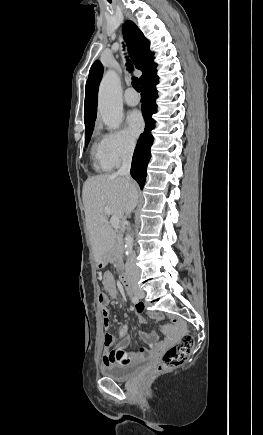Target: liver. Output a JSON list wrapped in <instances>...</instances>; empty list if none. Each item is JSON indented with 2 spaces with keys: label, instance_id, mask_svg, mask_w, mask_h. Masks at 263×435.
<instances>
[{
  "label": "liver",
  "instance_id": "obj_1",
  "mask_svg": "<svg viewBox=\"0 0 263 435\" xmlns=\"http://www.w3.org/2000/svg\"><path fill=\"white\" fill-rule=\"evenodd\" d=\"M135 182L117 174L90 177L83 186L82 197L86 225L94 254L98 263L105 259L114 244L115 233L105 213L108 207L111 215L124 217L128 188Z\"/></svg>",
  "mask_w": 263,
  "mask_h": 435
}]
</instances>
